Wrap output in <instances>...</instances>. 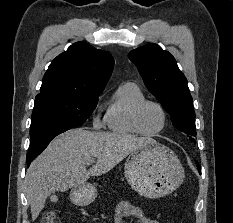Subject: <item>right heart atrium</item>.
I'll list each match as a JSON object with an SVG mask.
<instances>
[{"instance_id": "obj_1", "label": "right heart atrium", "mask_w": 233, "mask_h": 223, "mask_svg": "<svg viewBox=\"0 0 233 223\" xmlns=\"http://www.w3.org/2000/svg\"><path fill=\"white\" fill-rule=\"evenodd\" d=\"M92 124L96 129H100L103 125V120L98 113L94 112L92 115Z\"/></svg>"}]
</instances>
